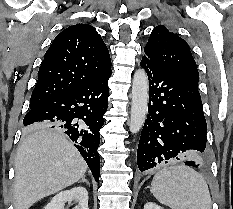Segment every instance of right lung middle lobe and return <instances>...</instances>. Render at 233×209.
<instances>
[{"label":"right lung middle lobe","mask_w":233,"mask_h":209,"mask_svg":"<svg viewBox=\"0 0 233 209\" xmlns=\"http://www.w3.org/2000/svg\"><path fill=\"white\" fill-rule=\"evenodd\" d=\"M37 105H33V104H30V109L31 108H34L36 107ZM37 127H48V128H54V126L52 124H47V123H44V124H38V125H35V126H32L30 127L31 129H35Z\"/></svg>","instance_id":"1"}]
</instances>
